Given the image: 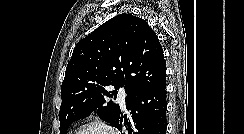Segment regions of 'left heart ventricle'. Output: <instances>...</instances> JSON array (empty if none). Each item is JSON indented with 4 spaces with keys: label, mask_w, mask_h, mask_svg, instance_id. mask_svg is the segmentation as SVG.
I'll list each match as a JSON object with an SVG mask.
<instances>
[{
    "label": "left heart ventricle",
    "mask_w": 244,
    "mask_h": 134,
    "mask_svg": "<svg viewBox=\"0 0 244 134\" xmlns=\"http://www.w3.org/2000/svg\"><path fill=\"white\" fill-rule=\"evenodd\" d=\"M79 134H106V133L99 128L92 127L81 131Z\"/></svg>",
    "instance_id": "b2bd125f"
}]
</instances>
